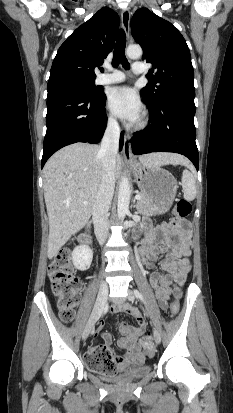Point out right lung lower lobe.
<instances>
[{
  "instance_id": "1",
  "label": "right lung lower lobe",
  "mask_w": 233,
  "mask_h": 413,
  "mask_svg": "<svg viewBox=\"0 0 233 413\" xmlns=\"http://www.w3.org/2000/svg\"><path fill=\"white\" fill-rule=\"evenodd\" d=\"M106 96L93 100L73 90H56L47 95V132L44 138L41 168L60 148L76 143H98L105 131ZM120 149L123 135L120 136Z\"/></svg>"
}]
</instances>
